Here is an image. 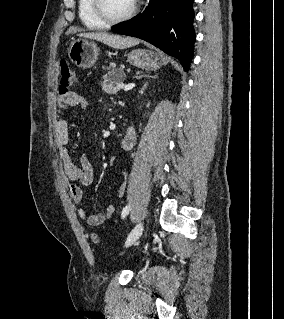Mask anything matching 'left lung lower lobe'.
<instances>
[{"label":"left lung lower lobe","instance_id":"0a47b994","mask_svg":"<svg viewBox=\"0 0 284 319\" xmlns=\"http://www.w3.org/2000/svg\"><path fill=\"white\" fill-rule=\"evenodd\" d=\"M194 0H150L145 10L112 27L118 34L145 40L180 60L185 71L193 58Z\"/></svg>","mask_w":284,"mask_h":319}]
</instances>
